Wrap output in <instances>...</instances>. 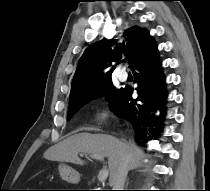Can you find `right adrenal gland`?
Instances as JSON below:
<instances>
[{"mask_svg": "<svg viewBox=\"0 0 210 191\" xmlns=\"http://www.w3.org/2000/svg\"><path fill=\"white\" fill-rule=\"evenodd\" d=\"M126 186H128V179H127V182H126Z\"/></svg>", "mask_w": 210, "mask_h": 191, "instance_id": "1", "label": "right adrenal gland"}]
</instances>
